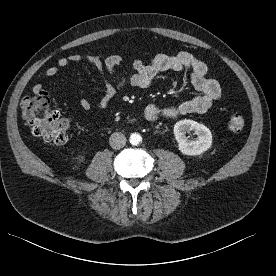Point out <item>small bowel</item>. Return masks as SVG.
Wrapping results in <instances>:
<instances>
[{
    "instance_id": "obj_1",
    "label": "small bowel",
    "mask_w": 276,
    "mask_h": 276,
    "mask_svg": "<svg viewBox=\"0 0 276 276\" xmlns=\"http://www.w3.org/2000/svg\"><path fill=\"white\" fill-rule=\"evenodd\" d=\"M79 62L92 64L101 73L108 72L112 78L111 80L104 79V94L95 103H92L87 98L80 99V106L85 110L93 107L105 108L109 106L118 92L126 87L148 88L159 73L170 70L189 71L191 83L197 91L201 92V95L171 106L148 105L144 110V116L149 122H156L160 118H176L190 113H204L221 95L220 84L207 75V65L188 52H179L175 55L157 54L147 63L140 59H135L132 63L134 73L125 77L117 74V68L123 62L121 55L103 56L72 53L66 57H60L55 66L47 67L45 75L54 77L61 68L67 67L70 63ZM32 91L35 94L44 91V87L37 82L32 86Z\"/></svg>"
}]
</instances>
